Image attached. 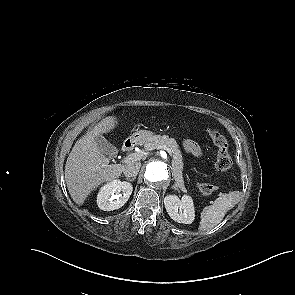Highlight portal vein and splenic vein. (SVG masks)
<instances>
[{"mask_svg": "<svg viewBox=\"0 0 295 295\" xmlns=\"http://www.w3.org/2000/svg\"><path fill=\"white\" fill-rule=\"evenodd\" d=\"M157 149L166 150L169 154H171L170 149L168 147H166L165 145H160L157 147ZM142 156H143V154H141V153H132V154H129L128 156L125 157L124 162L125 163L134 162V161L140 160L142 158ZM209 202L213 203L212 200H210Z\"/></svg>", "mask_w": 295, "mask_h": 295, "instance_id": "obj_1", "label": "portal vein and splenic vein"}]
</instances>
